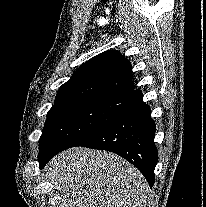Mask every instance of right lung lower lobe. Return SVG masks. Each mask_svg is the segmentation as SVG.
I'll list each match as a JSON object with an SVG mask.
<instances>
[{
	"mask_svg": "<svg viewBox=\"0 0 206 207\" xmlns=\"http://www.w3.org/2000/svg\"><path fill=\"white\" fill-rule=\"evenodd\" d=\"M128 97L130 103L119 116L74 146L107 150L120 155L136 166L152 187L158 160L154 144L155 124L150 116V107L142 100L141 90H132ZM62 150L39 155L40 168Z\"/></svg>",
	"mask_w": 206,
	"mask_h": 207,
	"instance_id": "right-lung-lower-lobe-1",
	"label": "right lung lower lobe"
}]
</instances>
